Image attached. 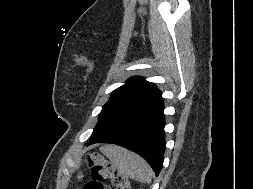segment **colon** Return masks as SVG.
Listing matches in <instances>:
<instances>
[{"label":"colon","instance_id":"5ec220e1","mask_svg":"<svg viewBox=\"0 0 253 189\" xmlns=\"http://www.w3.org/2000/svg\"><path fill=\"white\" fill-rule=\"evenodd\" d=\"M87 158L92 180L85 184L84 189H132L130 179L117 171L111 161L97 153L89 154Z\"/></svg>","mask_w":253,"mask_h":189}]
</instances>
